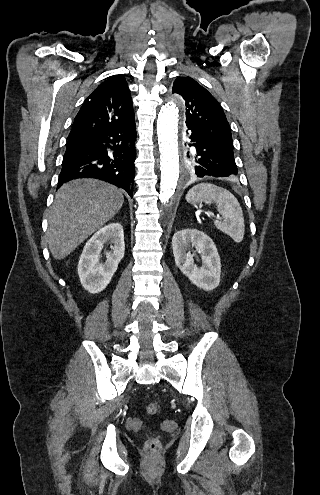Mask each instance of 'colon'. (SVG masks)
<instances>
[{
  "label": "colon",
  "mask_w": 320,
  "mask_h": 495,
  "mask_svg": "<svg viewBox=\"0 0 320 495\" xmlns=\"http://www.w3.org/2000/svg\"><path fill=\"white\" fill-rule=\"evenodd\" d=\"M161 406L158 402H151L147 405V413L149 415H157L160 412ZM160 446V442L156 438H149L146 442V449L150 452L156 451Z\"/></svg>",
  "instance_id": "colon-1"
}]
</instances>
